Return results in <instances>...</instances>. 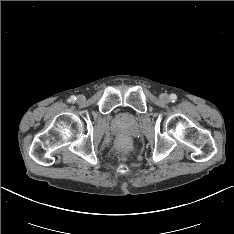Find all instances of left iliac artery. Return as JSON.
<instances>
[{
    "mask_svg": "<svg viewBox=\"0 0 234 234\" xmlns=\"http://www.w3.org/2000/svg\"><path fill=\"white\" fill-rule=\"evenodd\" d=\"M170 100H171V102H175L177 100L176 94H171L170 95Z\"/></svg>",
    "mask_w": 234,
    "mask_h": 234,
    "instance_id": "obj_1",
    "label": "left iliac artery"
}]
</instances>
